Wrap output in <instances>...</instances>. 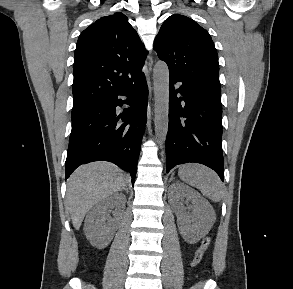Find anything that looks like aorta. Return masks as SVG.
Here are the masks:
<instances>
[{
	"instance_id": "aorta-1",
	"label": "aorta",
	"mask_w": 293,
	"mask_h": 289,
	"mask_svg": "<svg viewBox=\"0 0 293 289\" xmlns=\"http://www.w3.org/2000/svg\"><path fill=\"white\" fill-rule=\"evenodd\" d=\"M155 97V134L161 144L165 141L168 131L169 112V70L164 62L156 63L153 70Z\"/></svg>"
}]
</instances>
